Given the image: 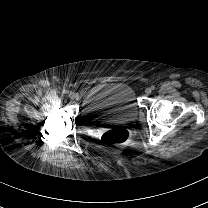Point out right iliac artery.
Returning a JSON list of instances; mask_svg holds the SVG:
<instances>
[{
    "label": "right iliac artery",
    "instance_id": "obj_1",
    "mask_svg": "<svg viewBox=\"0 0 208 208\" xmlns=\"http://www.w3.org/2000/svg\"><path fill=\"white\" fill-rule=\"evenodd\" d=\"M69 92L67 90H63V94H68Z\"/></svg>",
    "mask_w": 208,
    "mask_h": 208
}]
</instances>
